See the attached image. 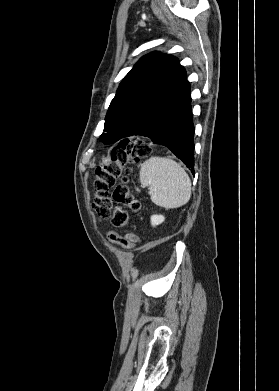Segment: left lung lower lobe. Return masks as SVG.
I'll list each match as a JSON object with an SVG mask.
<instances>
[{"instance_id": "0a47b994", "label": "left lung lower lobe", "mask_w": 279, "mask_h": 391, "mask_svg": "<svg viewBox=\"0 0 279 391\" xmlns=\"http://www.w3.org/2000/svg\"><path fill=\"white\" fill-rule=\"evenodd\" d=\"M135 135L171 150L194 174V125L189 89Z\"/></svg>"}]
</instances>
